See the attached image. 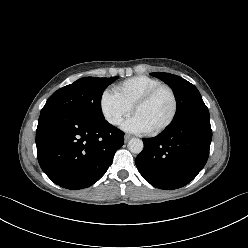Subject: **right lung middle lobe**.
I'll return each instance as SVG.
<instances>
[{
	"mask_svg": "<svg viewBox=\"0 0 248 248\" xmlns=\"http://www.w3.org/2000/svg\"><path fill=\"white\" fill-rule=\"evenodd\" d=\"M118 77H84L60 88L47 100L41 113L51 110H70L96 119H104L101 96L105 88Z\"/></svg>",
	"mask_w": 248,
	"mask_h": 248,
	"instance_id": "right-lung-middle-lobe-1",
	"label": "right lung middle lobe"
}]
</instances>
